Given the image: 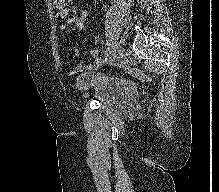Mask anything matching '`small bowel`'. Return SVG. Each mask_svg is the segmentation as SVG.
<instances>
[{
  "mask_svg": "<svg viewBox=\"0 0 219 192\" xmlns=\"http://www.w3.org/2000/svg\"><path fill=\"white\" fill-rule=\"evenodd\" d=\"M72 0H65L64 4L61 6H58V17L61 19L66 18L67 16H69L70 13H73V15L67 20V22L69 24H73V29L76 31H83L85 29L86 26V22L88 19V11L86 10H82L81 12L77 13L76 9L71 6ZM100 37L99 36H95L94 37V42L96 44L100 43ZM73 52L75 55H79L80 54V50L78 47L74 46L73 47ZM91 57L94 59V66H99L101 63V59H100V52L98 49H93L90 52ZM136 76H138V73L136 72L135 74Z\"/></svg>",
  "mask_w": 219,
  "mask_h": 192,
  "instance_id": "obj_1",
  "label": "small bowel"
}]
</instances>
